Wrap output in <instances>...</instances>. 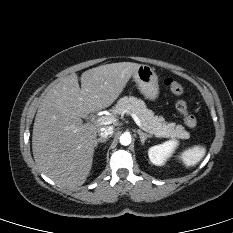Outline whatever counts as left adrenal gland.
Instances as JSON below:
<instances>
[{
	"instance_id": "obj_1",
	"label": "left adrenal gland",
	"mask_w": 233,
	"mask_h": 233,
	"mask_svg": "<svg viewBox=\"0 0 233 233\" xmlns=\"http://www.w3.org/2000/svg\"><path fill=\"white\" fill-rule=\"evenodd\" d=\"M137 133L139 134L140 140H141V144L144 145L145 141L147 140V138H150L151 135H148L144 132H142L141 130H137Z\"/></svg>"
}]
</instances>
